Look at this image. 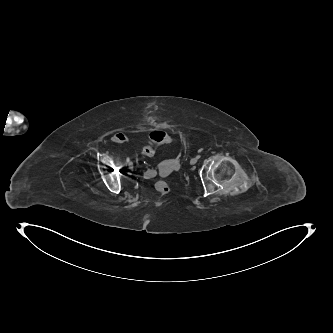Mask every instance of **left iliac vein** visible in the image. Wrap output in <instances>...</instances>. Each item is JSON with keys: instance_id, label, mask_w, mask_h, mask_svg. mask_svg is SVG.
<instances>
[{"instance_id": "obj_1", "label": "left iliac vein", "mask_w": 333, "mask_h": 333, "mask_svg": "<svg viewBox=\"0 0 333 333\" xmlns=\"http://www.w3.org/2000/svg\"><path fill=\"white\" fill-rule=\"evenodd\" d=\"M197 161H198V158H192V159L190 160V164H191V165H194V164L197 163Z\"/></svg>"}]
</instances>
